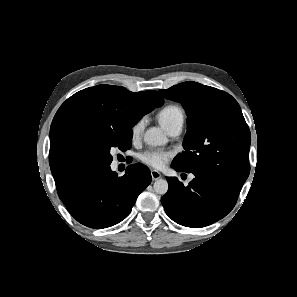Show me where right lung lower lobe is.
I'll return each mask as SVG.
<instances>
[{"mask_svg":"<svg viewBox=\"0 0 297 297\" xmlns=\"http://www.w3.org/2000/svg\"><path fill=\"white\" fill-rule=\"evenodd\" d=\"M151 180L150 170L143 164L129 165L121 177L107 165L86 170L58 194L78 222L101 229L126 218Z\"/></svg>","mask_w":297,"mask_h":297,"instance_id":"98d812e1","label":"right lung lower lobe"}]
</instances>
